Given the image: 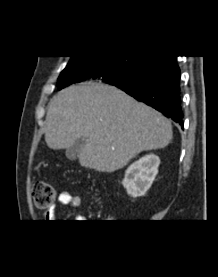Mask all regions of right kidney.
I'll return each mask as SVG.
<instances>
[{"instance_id":"1","label":"right kidney","mask_w":218,"mask_h":277,"mask_svg":"<svg viewBox=\"0 0 218 277\" xmlns=\"http://www.w3.org/2000/svg\"><path fill=\"white\" fill-rule=\"evenodd\" d=\"M160 159L154 154H148L132 163L125 171L123 186L127 194L139 197L146 194L157 173Z\"/></svg>"}]
</instances>
